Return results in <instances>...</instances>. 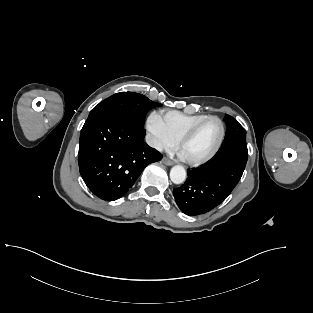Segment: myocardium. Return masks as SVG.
Returning <instances> with one entry per match:
<instances>
[{
	"label": "myocardium",
	"mask_w": 313,
	"mask_h": 313,
	"mask_svg": "<svg viewBox=\"0 0 313 313\" xmlns=\"http://www.w3.org/2000/svg\"><path fill=\"white\" fill-rule=\"evenodd\" d=\"M209 120H216L218 121L219 125H220V136L219 139L215 145V147L213 148V150L207 154L206 156L202 157V158H198V159H187L185 158L186 162L191 164V165H201L204 164L208 161H210L220 150L224 138H225V133H226V128H225V124L223 122V120L215 115H209L207 117H205L204 119L200 120L199 122L195 123L194 125H192L190 128H188L176 141L177 143V148L180 150V148L182 147V145L189 139L191 138V136L207 121Z\"/></svg>",
	"instance_id": "myocardium-1"
}]
</instances>
